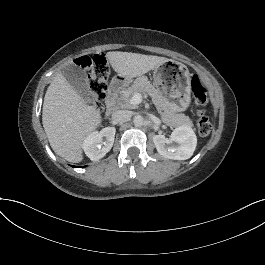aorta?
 <instances>
[{
  "label": "aorta",
  "instance_id": "1",
  "mask_svg": "<svg viewBox=\"0 0 265 265\" xmlns=\"http://www.w3.org/2000/svg\"><path fill=\"white\" fill-rule=\"evenodd\" d=\"M133 122H134V125L136 127H141L143 125V123H144V119H143L142 116L137 115V116L134 117Z\"/></svg>",
  "mask_w": 265,
  "mask_h": 265
}]
</instances>
